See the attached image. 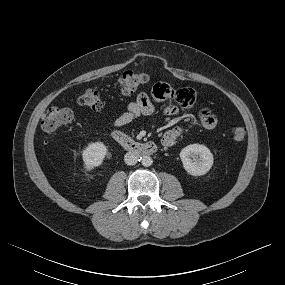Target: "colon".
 Returning a JSON list of instances; mask_svg holds the SVG:
<instances>
[{"label": "colon", "mask_w": 285, "mask_h": 285, "mask_svg": "<svg viewBox=\"0 0 285 285\" xmlns=\"http://www.w3.org/2000/svg\"><path fill=\"white\" fill-rule=\"evenodd\" d=\"M146 74L139 71H127L118 80V92L121 96H128L147 82ZM78 103L92 110H101L103 102L98 90L86 89L78 98ZM73 112L69 108L51 107L41 122L42 129L47 133H55L69 125L73 120ZM230 135L235 141H242L245 137V129L239 125H233Z\"/></svg>", "instance_id": "obj_1"}]
</instances>
